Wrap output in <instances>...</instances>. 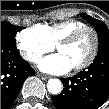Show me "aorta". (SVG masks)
<instances>
[{
  "mask_svg": "<svg viewBox=\"0 0 109 109\" xmlns=\"http://www.w3.org/2000/svg\"><path fill=\"white\" fill-rule=\"evenodd\" d=\"M47 89L51 94L57 95L61 92L62 83L59 79H50L47 83Z\"/></svg>",
  "mask_w": 109,
  "mask_h": 109,
  "instance_id": "762f6f07",
  "label": "aorta"
}]
</instances>
